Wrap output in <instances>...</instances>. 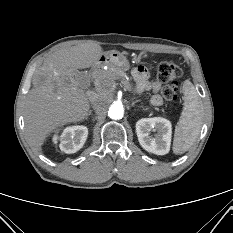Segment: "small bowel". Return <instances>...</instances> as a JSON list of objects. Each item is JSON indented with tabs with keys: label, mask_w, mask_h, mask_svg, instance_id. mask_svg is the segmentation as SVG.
Wrapping results in <instances>:
<instances>
[{
	"label": "small bowel",
	"mask_w": 233,
	"mask_h": 233,
	"mask_svg": "<svg viewBox=\"0 0 233 233\" xmlns=\"http://www.w3.org/2000/svg\"><path fill=\"white\" fill-rule=\"evenodd\" d=\"M132 75L137 83V88L139 91H152L153 95L151 97V102L154 105H161L163 100L159 95L161 84L158 81L149 80V72L144 66H138L133 69Z\"/></svg>",
	"instance_id": "c3829d8e"
}]
</instances>
